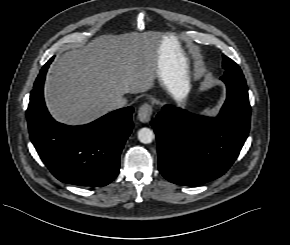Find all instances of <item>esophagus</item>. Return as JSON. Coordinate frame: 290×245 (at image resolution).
<instances>
[{"label": "esophagus", "instance_id": "esophagus-1", "mask_svg": "<svg viewBox=\"0 0 290 245\" xmlns=\"http://www.w3.org/2000/svg\"><path fill=\"white\" fill-rule=\"evenodd\" d=\"M152 115V106L148 103H144L138 110L137 118L139 121L146 123L150 120Z\"/></svg>", "mask_w": 290, "mask_h": 245}]
</instances>
